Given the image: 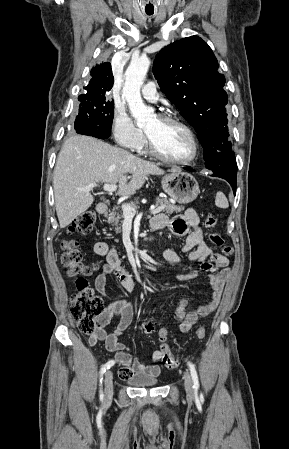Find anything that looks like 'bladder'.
Wrapping results in <instances>:
<instances>
[{
  "mask_svg": "<svg viewBox=\"0 0 289 449\" xmlns=\"http://www.w3.org/2000/svg\"><path fill=\"white\" fill-rule=\"evenodd\" d=\"M128 383L134 387H152L159 383L156 376L147 374H137L128 380Z\"/></svg>",
  "mask_w": 289,
  "mask_h": 449,
  "instance_id": "31cf9c89",
  "label": "bladder"
}]
</instances>
